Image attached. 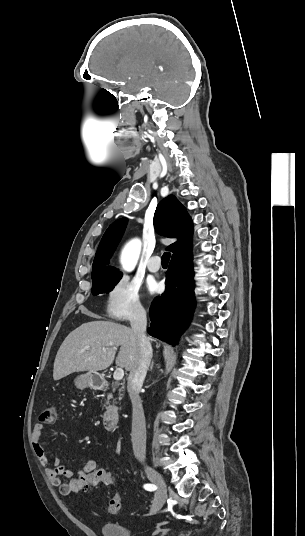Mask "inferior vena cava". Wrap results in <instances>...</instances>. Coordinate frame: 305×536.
Returning <instances> with one entry per match:
<instances>
[{
	"mask_svg": "<svg viewBox=\"0 0 305 536\" xmlns=\"http://www.w3.org/2000/svg\"><path fill=\"white\" fill-rule=\"evenodd\" d=\"M130 324L139 342V360L137 366L132 368L129 374L127 386L133 408L131 438L133 452L136 458H141L142 460L146 456V424L139 392L143 386L152 358L151 344L145 334L147 326L146 312L142 306L134 308Z\"/></svg>",
	"mask_w": 305,
	"mask_h": 536,
	"instance_id": "1",
	"label": "inferior vena cava"
}]
</instances>
